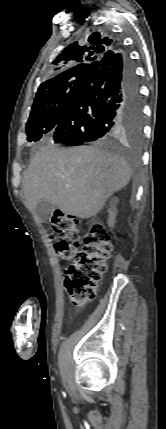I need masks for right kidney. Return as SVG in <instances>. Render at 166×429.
I'll use <instances>...</instances> for the list:
<instances>
[{
	"instance_id": "obj_1",
	"label": "right kidney",
	"mask_w": 166,
	"mask_h": 429,
	"mask_svg": "<svg viewBox=\"0 0 166 429\" xmlns=\"http://www.w3.org/2000/svg\"><path fill=\"white\" fill-rule=\"evenodd\" d=\"M116 202H117L116 198L111 199V206L108 209V213H109L108 225H109V227H114V225H115V218L117 215Z\"/></svg>"
}]
</instances>
